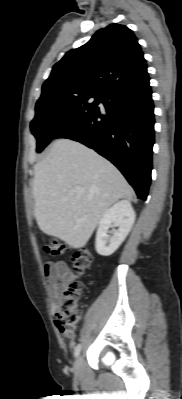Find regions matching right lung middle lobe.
Wrapping results in <instances>:
<instances>
[{
    "mask_svg": "<svg viewBox=\"0 0 182 399\" xmlns=\"http://www.w3.org/2000/svg\"><path fill=\"white\" fill-rule=\"evenodd\" d=\"M103 95L81 94L62 96L38 102L30 128L37 139V152H41L58 134L72 129L98 111Z\"/></svg>",
    "mask_w": 182,
    "mask_h": 399,
    "instance_id": "obj_1",
    "label": "right lung middle lobe"
}]
</instances>
